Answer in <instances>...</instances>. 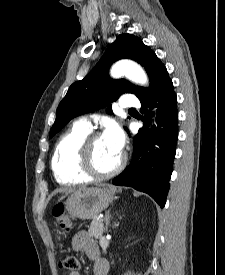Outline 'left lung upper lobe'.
I'll use <instances>...</instances> for the list:
<instances>
[{"instance_id": "left-lung-upper-lobe-1", "label": "left lung upper lobe", "mask_w": 225, "mask_h": 275, "mask_svg": "<svg viewBox=\"0 0 225 275\" xmlns=\"http://www.w3.org/2000/svg\"><path fill=\"white\" fill-rule=\"evenodd\" d=\"M120 59H132L141 64L149 76L150 85L166 69L156 54L140 38L132 34L119 35L107 48L94 69L84 79L69 87L66 96L57 108L50 138L78 115L105 106H107L106 112L113 114L110 103L117 100L119 95L133 93L139 98L148 90L136 87L124 79L112 80L109 77L111 64Z\"/></svg>"}]
</instances>
